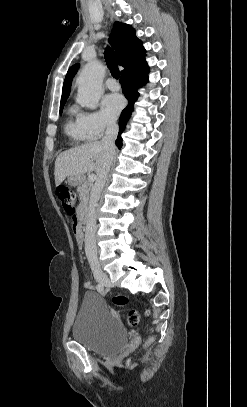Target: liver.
<instances>
[{"instance_id":"6515ba94","label":"liver","mask_w":247,"mask_h":407,"mask_svg":"<svg viewBox=\"0 0 247 407\" xmlns=\"http://www.w3.org/2000/svg\"><path fill=\"white\" fill-rule=\"evenodd\" d=\"M110 153L101 142H93L62 152L55 161V183L60 185L68 176H83L95 171L97 176L104 170Z\"/></svg>"}]
</instances>
